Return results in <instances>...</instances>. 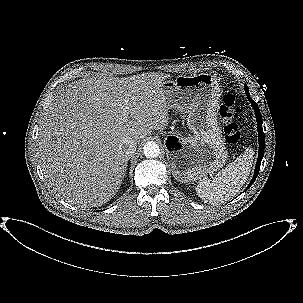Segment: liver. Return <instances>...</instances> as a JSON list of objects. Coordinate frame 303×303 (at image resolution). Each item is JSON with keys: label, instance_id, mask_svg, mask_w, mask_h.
<instances>
[{"label": "liver", "instance_id": "liver-1", "mask_svg": "<svg viewBox=\"0 0 303 303\" xmlns=\"http://www.w3.org/2000/svg\"><path fill=\"white\" fill-rule=\"evenodd\" d=\"M169 77L96 74L62 88L43 114L37 138L40 165L53 192L81 208L101 206L115 196L127 167L121 141L130 137L137 143L168 126L162 84Z\"/></svg>", "mask_w": 303, "mask_h": 303}]
</instances>
